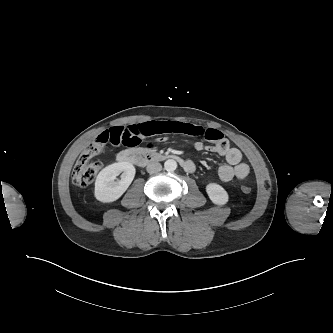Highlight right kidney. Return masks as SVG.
<instances>
[{"instance_id":"obj_1","label":"right kidney","mask_w":333,"mask_h":333,"mask_svg":"<svg viewBox=\"0 0 333 333\" xmlns=\"http://www.w3.org/2000/svg\"><path fill=\"white\" fill-rule=\"evenodd\" d=\"M135 172V167L129 162H117L108 165L97 175L95 198L102 203H111L118 200L132 183ZM120 173H122L121 179L115 181Z\"/></svg>"}]
</instances>
